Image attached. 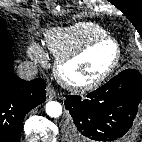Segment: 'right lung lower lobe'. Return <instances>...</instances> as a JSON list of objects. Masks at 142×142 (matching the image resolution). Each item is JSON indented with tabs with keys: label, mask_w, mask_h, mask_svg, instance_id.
<instances>
[{
	"label": "right lung lower lobe",
	"mask_w": 142,
	"mask_h": 142,
	"mask_svg": "<svg viewBox=\"0 0 142 142\" xmlns=\"http://www.w3.org/2000/svg\"><path fill=\"white\" fill-rule=\"evenodd\" d=\"M46 83L14 75L11 51L0 50V142H19L25 115L43 103Z\"/></svg>",
	"instance_id": "obj_1"
}]
</instances>
